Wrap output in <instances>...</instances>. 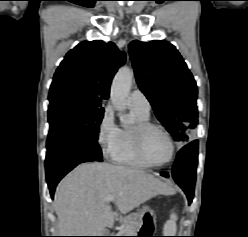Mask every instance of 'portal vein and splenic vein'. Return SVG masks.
<instances>
[{"instance_id":"1","label":"portal vein and splenic vein","mask_w":248,"mask_h":237,"mask_svg":"<svg viewBox=\"0 0 248 237\" xmlns=\"http://www.w3.org/2000/svg\"><path fill=\"white\" fill-rule=\"evenodd\" d=\"M114 199H115V196L114 195H108L105 198V202L109 203V202H111Z\"/></svg>"}]
</instances>
